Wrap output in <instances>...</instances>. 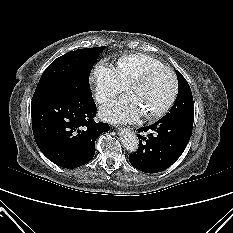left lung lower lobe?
I'll return each instance as SVG.
<instances>
[{
    "mask_svg": "<svg viewBox=\"0 0 233 233\" xmlns=\"http://www.w3.org/2000/svg\"><path fill=\"white\" fill-rule=\"evenodd\" d=\"M192 128L189 124L167 117L140 128L139 133H151L147 137L138 135L139 147L129 155L130 163L145 173H157L167 169L185 150Z\"/></svg>",
    "mask_w": 233,
    "mask_h": 233,
    "instance_id": "1",
    "label": "left lung lower lobe"
}]
</instances>
